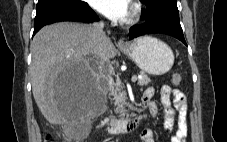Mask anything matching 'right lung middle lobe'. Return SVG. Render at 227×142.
<instances>
[{
  "label": "right lung middle lobe",
  "mask_w": 227,
  "mask_h": 142,
  "mask_svg": "<svg viewBox=\"0 0 227 142\" xmlns=\"http://www.w3.org/2000/svg\"><path fill=\"white\" fill-rule=\"evenodd\" d=\"M82 0H38L36 10H46L57 7H72L84 4Z\"/></svg>",
  "instance_id": "dd1d6c3e"
}]
</instances>
